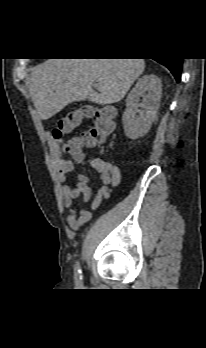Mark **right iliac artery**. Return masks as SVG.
Wrapping results in <instances>:
<instances>
[{"label":"right iliac artery","mask_w":206,"mask_h":348,"mask_svg":"<svg viewBox=\"0 0 206 348\" xmlns=\"http://www.w3.org/2000/svg\"><path fill=\"white\" fill-rule=\"evenodd\" d=\"M75 280L78 284L82 283V271L79 262L75 266Z\"/></svg>","instance_id":"obj_1"}]
</instances>
